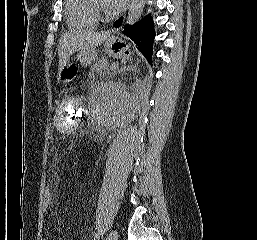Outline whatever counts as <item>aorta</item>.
<instances>
[{
	"instance_id": "762f6f07",
	"label": "aorta",
	"mask_w": 257,
	"mask_h": 240,
	"mask_svg": "<svg viewBox=\"0 0 257 240\" xmlns=\"http://www.w3.org/2000/svg\"><path fill=\"white\" fill-rule=\"evenodd\" d=\"M145 2L146 0H132L127 16V22L129 24L132 25L138 21L143 12Z\"/></svg>"
}]
</instances>
